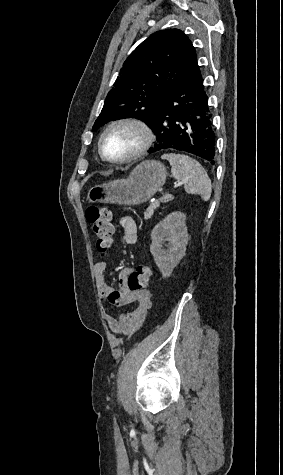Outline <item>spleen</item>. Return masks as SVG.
Returning <instances> with one entry per match:
<instances>
[{
    "mask_svg": "<svg viewBox=\"0 0 283 475\" xmlns=\"http://www.w3.org/2000/svg\"><path fill=\"white\" fill-rule=\"evenodd\" d=\"M162 160H168L173 178L184 184L187 194H199L204 202L211 196V180L197 160L184 154H164Z\"/></svg>",
    "mask_w": 283,
    "mask_h": 475,
    "instance_id": "1",
    "label": "spleen"
}]
</instances>
